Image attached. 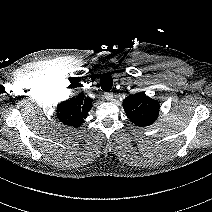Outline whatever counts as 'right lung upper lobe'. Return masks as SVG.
<instances>
[{
	"label": "right lung upper lobe",
	"instance_id": "cb5924a9",
	"mask_svg": "<svg viewBox=\"0 0 212 212\" xmlns=\"http://www.w3.org/2000/svg\"><path fill=\"white\" fill-rule=\"evenodd\" d=\"M91 108L92 99L77 96L58 105L56 113L63 124L77 128L84 123Z\"/></svg>",
	"mask_w": 212,
	"mask_h": 212
}]
</instances>
